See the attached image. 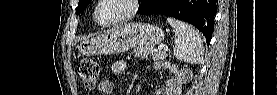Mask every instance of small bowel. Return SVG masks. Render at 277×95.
<instances>
[{"mask_svg":"<svg viewBox=\"0 0 277 95\" xmlns=\"http://www.w3.org/2000/svg\"><path fill=\"white\" fill-rule=\"evenodd\" d=\"M128 65L124 60H117L111 66V74L113 76H118L126 72ZM114 89V84L111 80H104L100 82L98 86V92L100 94H112ZM156 95H171L168 88H161L156 93Z\"/></svg>","mask_w":277,"mask_h":95,"instance_id":"small-bowel-1","label":"small bowel"}]
</instances>
